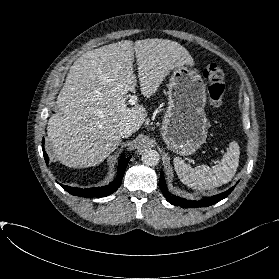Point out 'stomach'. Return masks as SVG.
I'll use <instances>...</instances> for the list:
<instances>
[{"instance_id":"obj_1","label":"stomach","mask_w":279,"mask_h":279,"mask_svg":"<svg viewBox=\"0 0 279 279\" xmlns=\"http://www.w3.org/2000/svg\"><path fill=\"white\" fill-rule=\"evenodd\" d=\"M206 101V85L198 72L185 66L174 68L168 84V107L161 135L176 154L191 155L206 141Z\"/></svg>"}]
</instances>
